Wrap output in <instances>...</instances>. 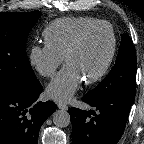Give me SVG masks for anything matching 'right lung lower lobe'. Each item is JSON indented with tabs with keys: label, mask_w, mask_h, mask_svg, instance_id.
Masks as SVG:
<instances>
[{
	"label": "right lung lower lobe",
	"mask_w": 144,
	"mask_h": 144,
	"mask_svg": "<svg viewBox=\"0 0 144 144\" xmlns=\"http://www.w3.org/2000/svg\"><path fill=\"white\" fill-rule=\"evenodd\" d=\"M38 82L29 89L0 87V144H38L39 130L55 111L54 102H37Z\"/></svg>",
	"instance_id": "obj_1"
}]
</instances>
